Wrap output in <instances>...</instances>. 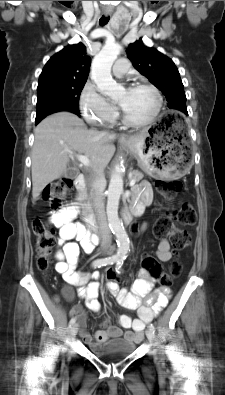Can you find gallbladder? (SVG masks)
Instances as JSON below:
<instances>
[{
  "label": "gallbladder",
  "mask_w": 225,
  "mask_h": 395,
  "mask_svg": "<svg viewBox=\"0 0 225 395\" xmlns=\"http://www.w3.org/2000/svg\"><path fill=\"white\" fill-rule=\"evenodd\" d=\"M77 175H78L77 169H75L73 166L69 165L67 167L66 172H65V177L75 178Z\"/></svg>",
  "instance_id": "obj_1"
}]
</instances>
